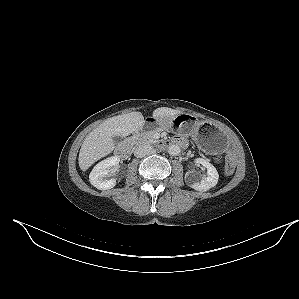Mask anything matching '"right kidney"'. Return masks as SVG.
Wrapping results in <instances>:
<instances>
[{"label":"right kidney","mask_w":299,"mask_h":299,"mask_svg":"<svg viewBox=\"0 0 299 299\" xmlns=\"http://www.w3.org/2000/svg\"><path fill=\"white\" fill-rule=\"evenodd\" d=\"M120 159L117 156L109 157L99 162L89 175L90 183L99 190L111 189L116 185L115 179H108L110 176L109 168L117 166Z\"/></svg>","instance_id":"right-kidney-1"}]
</instances>
